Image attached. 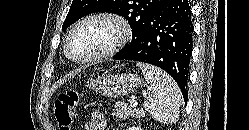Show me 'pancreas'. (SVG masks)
<instances>
[{
  "label": "pancreas",
  "mask_w": 249,
  "mask_h": 130,
  "mask_svg": "<svg viewBox=\"0 0 249 130\" xmlns=\"http://www.w3.org/2000/svg\"><path fill=\"white\" fill-rule=\"evenodd\" d=\"M112 115L118 119L142 118L144 112L141 109L129 106L127 103L118 102L115 104Z\"/></svg>",
  "instance_id": "cf45deb5"
}]
</instances>
